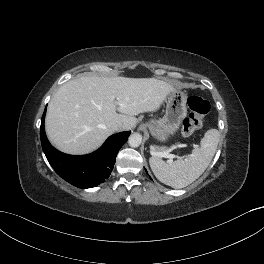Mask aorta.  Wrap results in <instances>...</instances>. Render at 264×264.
Here are the masks:
<instances>
[{"instance_id": "aorta-1", "label": "aorta", "mask_w": 264, "mask_h": 264, "mask_svg": "<svg viewBox=\"0 0 264 264\" xmlns=\"http://www.w3.org/2000/svg\"><path fill=\"white\" fill-rule=\"evenodd\" d=\"M142 142V136L139 133H133L129 136L128 143L131 147H138Z\"/></svg>"}]
</instances>
